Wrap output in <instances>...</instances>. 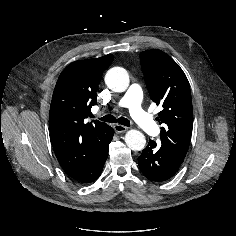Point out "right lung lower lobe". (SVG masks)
Here are the masks:
<instances>
[{"label": "right lung lower lobe", "instance_id": "98d812e1", "mask_svg": "<svg viewBox=\"0 0 236 236\" xmlns=\"http://www.w3.org/2000/svg\"><path fill=\"white\" fill-rule=\"evenodd\" d=\"M113 135L114 130L112 127H110L104 139L103 147L98 151V153L86 167V169L81 174L73 178L75 181L85 184L91 183L99 177L102 172L104 163L108 157L109 144L112 140Z\"/></svg>", "mask_w": 236, "mask_h": 236}]
</instances>
